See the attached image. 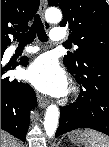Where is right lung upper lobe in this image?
<instances>
[{"label": "right lung upper lobe", "mask_w": 109, "mask_h": 147, "mask_svg": "<svg viewBox=\"0 0 109 147\" xmlns=\"http://www.w3.org/2000/svg\"><path fill=\"white\" fill-rule=\"evenodd\" d=\"M39 0H1V49L7 48L9 34L25 32L38 10Z\"/></svg>", "instance_id": "obj_1"}]
</instances>
